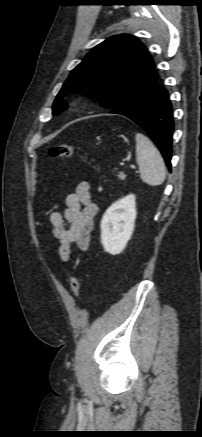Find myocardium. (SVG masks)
I'll list each match as a JSON object with an SVG mask.
<instances>
[{"label":"myocardium","mask_w":202,"mask_h":437,"mask_svg":"<svg viewBox=\"0 0 202 437\" xmlns=\"http://www.w3.org/2000/svg\"><path fill=\"white\" fill-rule=\"evenodd\" d=\"M76 104H77V102L74 101V102L71 103V106L74 107Z\"/></svg>","instance_id":"obj_1"}]
</instances>
